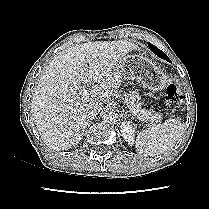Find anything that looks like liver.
Segmentation results:
<instances>
[{"instance_id":"obj_1","label":"liver","mask_w":209,"mask_h":209,"mask_svg":"<svg viewBox=\"0 0 209 209\" xmlns=\"http://www.w3.org/2000/svg\"><path fill=\"white\" fill-rule=\"evenodd\" d=\"M138 47L130 41L76 44L56 56L40 76L32 98V119L42 141L56 151L68 150L82 139L88 108L116 99L125 56ZM92 82L88 98L77 90Z\"/></svg>"}]
</instances>
